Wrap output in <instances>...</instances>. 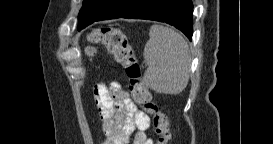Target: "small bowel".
Wrapping results in <instances>:
<instances>
[{
  "label": "small bowel",
  "instance_id": "c3829d8e",
  "mask_svg": "<svg viewBox=\"0 0 273 144\" xmlns=\"http://www.w3.org/2000/svg\"><path fill=\"white\" fill-rule=\"evenodd\" d=\"M93 94L105 144H127L131 137L134 144L153 143L147 135L149 116L136 106L119 82L99 83Z\"/></svg>",
  "mask_w": 273,
  "mask_h": 144
}]
</instances>
